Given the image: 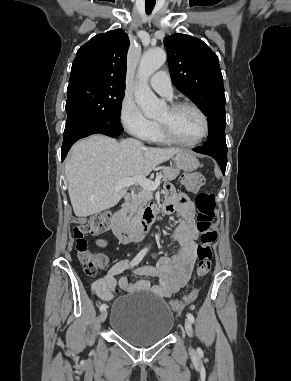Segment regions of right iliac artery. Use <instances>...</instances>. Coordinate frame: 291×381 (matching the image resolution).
<instances>
[{"label": "right iliac artery", "instance_id": "1", "mask_svg": "<svg viewBox=\"0 0 291 381\" xmlns=\"http://www.w3.org/2000/svg\"><path fill=\"white\" fill-rule=\"evenodd\" d=\"M145 254H146V250H142V251H140V252L137 254V256L132 260V262H131V266L137 265V264L143 259V257L145 256ZM106 308H107V305H106V304H102V305L100 306V311H104V310H106Z\"/></svg>", "mask_w": 291, "mask_h": 381}]
</instances>
